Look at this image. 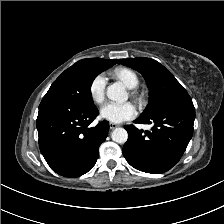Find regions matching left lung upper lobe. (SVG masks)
Listing matches in <instances>:
<instances>
[{
  "mask_svg": "<svg viewBox=\"0 0 224 224\" xmlns=\"http://www.w3.org/2000/svg\"><path fill=\"white\" fill-rule=\"evenodd\" d=\"M119 64L140 72L149 88V104L141 117H152L163 110L181 104L192 103L187 91L159 62L150 58L120 59Z\"/></svg>",
  "mask_w": 224,
  "mask_h": 224,
  "instance_id": "obj_1",
  "label": "left lung upper lobe"
}]
</instances>
